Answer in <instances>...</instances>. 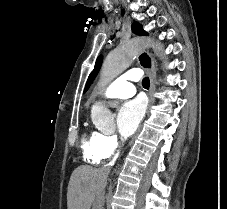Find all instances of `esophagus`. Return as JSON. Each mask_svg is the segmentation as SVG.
<instances>
[{"instance_id": "34e87169", "label": "esophagus", "mask_w": 227, "mask_h": 209, "mask_svg": "<svg viewBox=\"0 0 227 209\" xmlns=\"http://www.w3.org/2000/svg\"><path fill=\"white\" fill-rule=\"evenodd\" d=\"M137 62L142 67L147 75L150 78V95H149V103L153 102L152 94L156 88V67L153 57L147 52V50H142L137 55Z\"/></svg>"}]
</instances>
